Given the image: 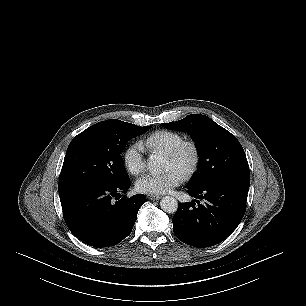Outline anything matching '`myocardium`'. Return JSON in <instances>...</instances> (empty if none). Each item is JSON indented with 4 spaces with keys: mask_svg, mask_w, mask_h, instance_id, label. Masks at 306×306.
<instances>
[{
    "mask_svg": "<svg viewBox=\"0 0 306 306\" xmlns=\"http://www.w3.org/2000/svg\"><path fill=\"white\" fill-rule=\"evenodd\" d=\"M185 153L191 155V162L183 174L185 179H189L196 173L200 165L201 153L198 145L194 141H183L166 155L174 161H179Z\"/></svg>",
    "mask_w": 306,
    "mask_h": 306,
    "instance_id": "1",
    "label": "myocardium"
}]
</instances>
